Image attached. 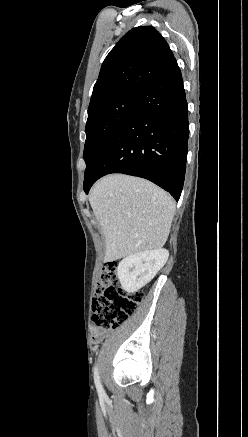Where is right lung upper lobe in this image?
<instances>
[{
    "mask_svg": "<svg viewBox=\"0 0 248 437\" xmlns=\"http://www.w3.org/2000/svg\"><path fill=\"white\" fill-rule=\"evenodd\" d=\"M174 59L169 45L154 27L133 28L105 58L88 113L124 93H139Z\"/></svg>",
    "mask_w": 248,
    "mask_h": 437,
    "instance_id": "cb5924a9",
    "label": "right lung upper lobe"
}]
</instances>
